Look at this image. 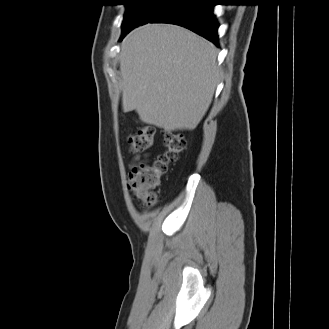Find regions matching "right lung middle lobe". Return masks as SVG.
I'll use <instances>...</instances> for the list:
<instances>
[{"label": "right lung middle lobe", "instance_id": "obj_1", "mask_svg": "<svg viewBox=\"0 0 329 329\" xmlns=\"http://www.w3.org/2000/svg\"><path fill=\"white\" fill-rule=\"evenodd\" d=\"M127 4L121 39L132 29L152 20L163 8L177 0H123Z\"/></svg>", "mask_w": 329, "mask_h": 329}]
</instances>
